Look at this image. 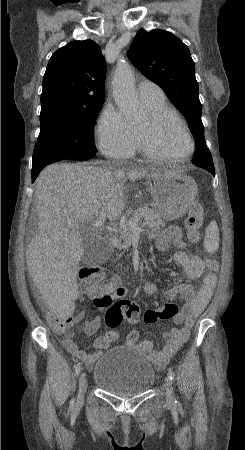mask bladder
Returning a JSON list of instances; mask_svg holds the SVG:
<instances>
[{"label": "bladder", "instance_id": "bladder-1", "mask_svg": "<svg viewBox=\"0 0 245 450\" xmlns=\"http://www.w3.org/2000/svg\"><path fill=\"white\" fill-rule=\"evenodd\" d=\"M156 381L153 366L138 351L115 347L95 361L92 383L112 395L129 397L148 391Z\"/></svg>", "mask_w": 245, "mask_h": 450}]
</instances>
